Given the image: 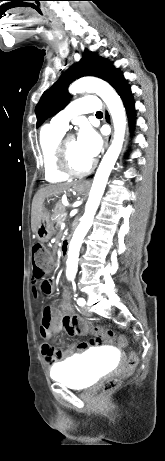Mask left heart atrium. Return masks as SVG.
<instances>
[{
    "mask_svg": "<svg viewBox=\"0 0 165 461\" xmlns=\"http://www.w3.org/2000/svg\"><path fill=\"white\" fill-rule=\"evenodd\" d=\"M76 140L81 151L89 158L92 159L100 152L102 146L101 137L89 126H83L80 129Z\"/></svg>",
    "mask_w": 165,
    "mask_h": 461,
    "instance_id": "1",
    "label": "left heart atrium"
}]
</instances>
